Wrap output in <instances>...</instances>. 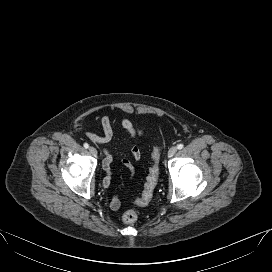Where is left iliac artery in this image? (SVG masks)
Wrapping results in <instances>:
<instances>
[{"label":"left iliac artery","instance_id":"44dca946","mask_svg":"<svg viewBox=\"0 0 272 272\" xmlns=\"http://www.w3.org/2000/svg\"><path fill=\"white\" fill-rule=\"evenodd\" d=\"M183 147H184L183 144H178V145H177V148H178V149H182Z\"/></svg>","mask_w":272,"mask_h":272}]
</instances>
